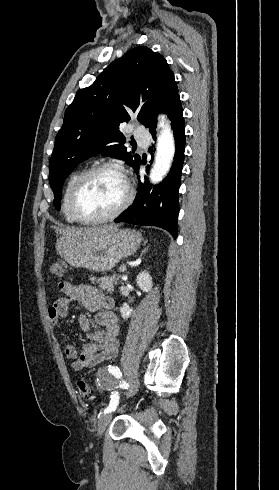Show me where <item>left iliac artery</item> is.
Masks as SVG:
<instances>
[{"instance_id":"1","label":"left iliac artery","mask_w":279,"mask_h":490,"mask_svg":"<svg viewBox=\"0 0 279 490\" xmlns=\"http://www.w3.org/2000/svg\"><path fill=\"white\" fill-rule=\"evenodd\" d=\"M108 370L109 372L113 373L116 377H119L122 375V373L120 372L119 368L116 366H111L109 365L108 366ZM128 386V384H125V387ZM119 404V395H118V392H112L111 394V401L109 403V406L104 410V413H111L113 411H115L116 407L118 406Z\"/></svg>"}]
</instances>
